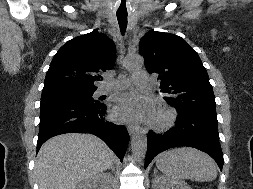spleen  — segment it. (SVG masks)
I'll return each instance as SVG.
<instances>
[{"instance_id":"3e777b00","label":"spleen","mask_w":253,"mask_h":189,"mask_svg":"<svg viewBox=\"0 0 253 189\" xmlns=\"http://www.w3.org/2000/svg\"><path fill=\"white\" fill-rule=\"evenodd\" d=\"M157 168L173 180L190 179L212 181L217 177L214 160L195 148H175L161 153L156 160Z\"/></svg>"}]
</instances>
